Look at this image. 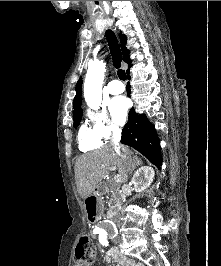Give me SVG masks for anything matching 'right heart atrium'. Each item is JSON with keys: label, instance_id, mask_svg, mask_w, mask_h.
Here are the masks:
<instances>
[{"label": "right heart atrium", "instance_id": "obj_1", "mask_svg": "<svg viewBox=\"0 0 221 266\" xmlns=\"http://www.w3.org/2000/svg\"><path fill=\"white\" fill-rule=\"evenodd\" d=\"M88 117L92 123L93 131L102 141L110 140L121 133L120 127L104 110L90 111Z\"/></svg>", "mask_w": 221, "mask_h": 266}]
</instances>
